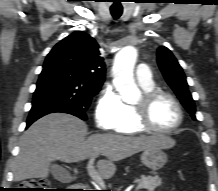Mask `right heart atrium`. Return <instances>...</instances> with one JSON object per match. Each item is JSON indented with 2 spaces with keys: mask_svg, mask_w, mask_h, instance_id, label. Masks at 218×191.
Segmentation results:
<instances>
[{
  "mask_svg": "<svg viewBox=\"0 0 218 191\" xmlns=\"http://www.w3.org/2000/svg\"><path fill=\"white\" fill-rule=\"evenodd\" d=\"M125 104L112 88H105L97 100L94 119L99 129L113 131L124 117Z\"/></svg>",
  "mask_w": 218,
  "mask_h": 191,
  "instance_id": "1",
  "label": "right heart atrium"
}]
</instances>
